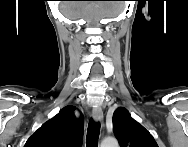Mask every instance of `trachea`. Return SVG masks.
<instances>
[{"label": "trachea", "instance_id": "obj_1", "mask_svg": "<svg viewBox=\"0 0 188 147\" xmlns=\"http://www.w3.org/2000/svg\"><path fill=\"white\" fill-rule=\"evenodd\" d=\"M100 132V123L90 119L88 124L86 147H97Z\"/></svg>", "mask_w": 188, "mask_h": 147}]
</instances>
